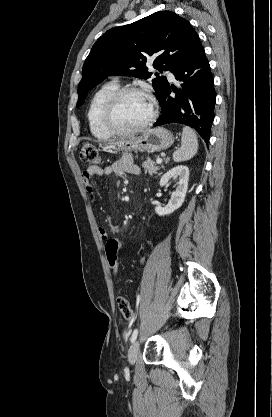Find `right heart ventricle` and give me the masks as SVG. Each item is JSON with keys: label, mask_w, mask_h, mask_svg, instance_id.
<instances>
[{"label": "right heart ventricle", "mask_w": 272, "mask_h": 417, "mask_svg": "<svg viewBox=\"0 0 272 417\" xmlns=\"http://www.w3.org/2000/svg\"><path fill=\"white\" fill-rule=\"evenodd\" d=\"M120 89V85L116 81H110L103 84L92 96L88 111L87 118L89 127L92 134L98 139H108L112 135L104 128L102 123V113L105 103L109 97Z\"/></svg>", "instance_id": "e07e8e85"}]
</instances>
